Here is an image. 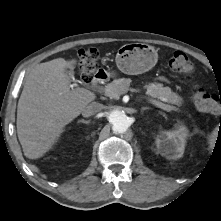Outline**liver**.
<instances>
[{"instance_id": "6515ba94", "label": "liver", "mask_w": 221, "mask_h": 221, "mask_svg": "<svg viewBox=\"0 0 221 221\" xmlns=\"http://www.w3.org/2000/svg\"><path fill=\"white\" fill-rule=\"evenodd\" d=\"M76 62L53 59L36 65L26 76L16 124L19 142L29 159L40 158L52 149L65 126L96 98L87 89H70L65 70H74Z\"/></svg>"}]
</instances>
